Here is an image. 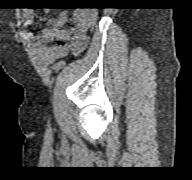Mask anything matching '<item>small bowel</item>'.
I'll return each mask as SVG.
<instances>
[{
  "mask_svg": "<svg viewBox=\"0 0 192 180\" xmlns=\"http://www.w3.org/2000/svg\"><path fill=\"white\" fill-rule=\"evenodd\" d=\"M23 19L26 25L34 22L32 10L23 11ZM67 14L61 11L51 22V26L44 29L40 34L34 35L29 31L22 33L26 40H33L34 50L45 59H55L69 54L78 55L84 51L89 43V31L96 20V14L91 11H76L72 15L73 25L64 28ZM56 41L49 46L48 43Z\"/></svg>",
  "mask_w": 192,
  "mask_h": 180,
  "instance_id": "c3829d8e",
  "label": "small bowel"
}]
</instances>
